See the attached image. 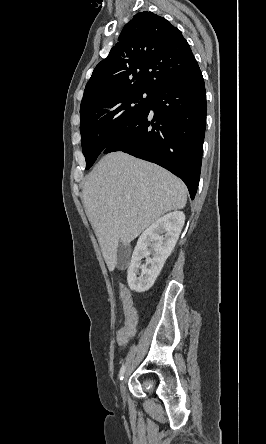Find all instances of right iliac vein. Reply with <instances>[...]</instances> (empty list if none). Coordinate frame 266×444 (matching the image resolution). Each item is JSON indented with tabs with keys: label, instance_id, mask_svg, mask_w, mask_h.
<instances>
[{
	"label": "right iliac vein",
	"instance_id": "1",
	"mask_svg": "<svg viewBox=\"0 0 266 444\" xmlns=\"http://www.w3.org/2000/svg\"><path fill=\"white\" fill-rule=\"evenodd\" d=\"M120 391L122 395H125L126 392V378H124L120 384Z\"/></svg>",
	"mask_w": 266,
	"mask_h": 444
}]
</instances>
